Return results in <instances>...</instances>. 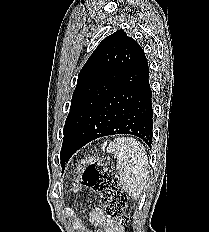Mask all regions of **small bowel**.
I'll use <instances>...</instances> for the list:
<instances>
[{"instance_id": "1", "label": "small bowel", "mask_w": 209, "mask_h": 232, "mask_svg": "<svg viewBox=\"0 0 209 232\" xmlns=\"http://www.w3.org/2000/svg\"><path fill=\"white\" fill-rule=\"evenodd\" d=\"M90 221L95 225L103 227L104 232H119L120 230L119 223L107 217L101 208H97L91 212Z\"/></svg>"}]
</instances>
